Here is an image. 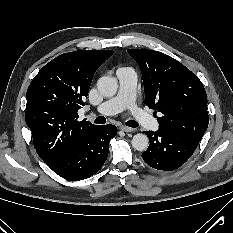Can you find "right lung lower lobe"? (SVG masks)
<instances>
[{"label": "right lung lower lobe", "instance_id": "right-lung-lower-lobe-1", "mask_svg": "<svg viewBox=\"0 0 233 233\" xmlns=\"http://www.w3.org/2000/svg\"><path fill=\"white\" fill-rule=\"evenodd\" d=\"M116 134L117 128L114 125L96 126L73 147L46 164L56 174L66 179L89 178L105 163L109 152V141Z\"/></svg>", "mask_w": 233, "mask_h": 233}]
</instances>
